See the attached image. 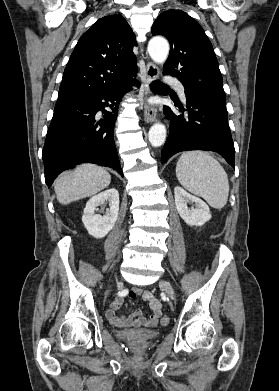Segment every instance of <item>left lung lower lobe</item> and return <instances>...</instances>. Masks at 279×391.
<instances>
[{
	"mask_svg": "<svg viewBox=\"0 0 279 391\" xmlns=\"http://www.w3.org/2000/svg\"><path fill=\"white\" fill-rule=\"evenodd\" d=\"M185 95L186 109L175 105L182 114L177 115L170 107H163L164 113L171 119V127L161 152V163L181 151L208 150L220 153L235 168V150L226 108L199 96Z\"/></svg>",
	"mask_w": 279,
	"mask_h": 391,
	"instance_id": "obj_1",
	"label": "left lung lower lobe"
}]
</instances>
